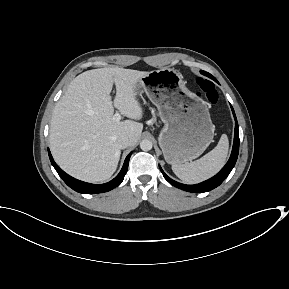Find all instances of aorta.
Masks as SVG:
<instances>
[{
    "instance_id": "762f6f07",
    "label": "aorta",
    "mask_w": 289,
    "mask_h": 289,
    "mask_svg": "<svg viewBox=\"0 0 289 289\" xmlns=\"http://www.w3.org/2000/svg\"><path fill=\"white\" fill-rule=\"evenodd\" d=\"M152 142L148 139H144L140 142V148L143 150V151H149L152 149Z\"/></svg>"
}]
</instances>
